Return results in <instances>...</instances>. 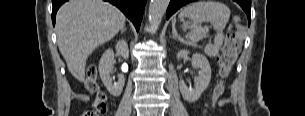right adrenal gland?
<instances>
[{"label": "right adrenal gland", "instance_id": "right-adrenal-gland-1", "mask_svg": "<svg viewBox=\"0 0 305 116\" xmlns=\"http://www.w3.org/2000/svg\"><path fill=\"white\" fill-rule=\"evenodd\" d=\"M125 30H126V27L122 28V29H121V33H124Z\"/></svg>", "mask_w": 305, "mask_h": 116}]
</instances>
